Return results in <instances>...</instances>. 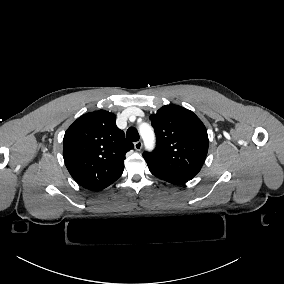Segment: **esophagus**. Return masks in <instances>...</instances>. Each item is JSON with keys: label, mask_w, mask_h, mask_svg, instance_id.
<instances>
[{"label": "esophagus", "mask_w": 284, "mask_h": 284, "mask_svg": "<svg viewBox=\"0 0 284 284\" xmlns=\"http://www.w3.org/2000/svg\"><path fill=\"white\" fill-rule=\"evenodd\" d=\"M142 147H143L142 141H137V142L134 143L135 150L140 151L142 149Z\"/></svg>", "instance_id": "34e87169"}]
</instances>
